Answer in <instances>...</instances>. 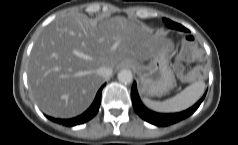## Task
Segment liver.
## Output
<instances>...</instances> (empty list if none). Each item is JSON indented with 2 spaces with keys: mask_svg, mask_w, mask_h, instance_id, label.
<instances>
[{
  "mask_svg": "<svg viewBox=\"0 0 238 145\" xmlns=\"http://www.w3.org/2000/svg\"><path fill=\"white\" fill-rule=\"evenodd\" d=\"M164 43L159 34L122 16L90 19L73 13L57 18L34 43L27 69L31 93L47 115L77 116L104 81L97 74L99 67L147 61Z\"/></svg>",
  "mask_w": 238,
  "mask_h": 145,
  "instance_id": "1",
  "label": "liver"
}]
</instances>
